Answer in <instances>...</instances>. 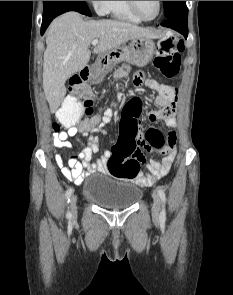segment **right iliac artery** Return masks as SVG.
Segmentation results:
<instances>
[{"instance_id":"82829eb1","label":"right iliac artery","mask_w":233,"mask_h":295,"mask_svg":"<svg viewBox=\"0 0 233 295\" xmlns=\"http://www.w3.org/2000/svg\"><path fill=\"white\" fill-rule=\"evenodd\" d=\"M72 193H73V188H69L66 191L65 198H66L67 203H69V200H70V197H71ZM71 217H72L71 212L67 211V218L71 219Z\"/></svg>"}]
</instances>
